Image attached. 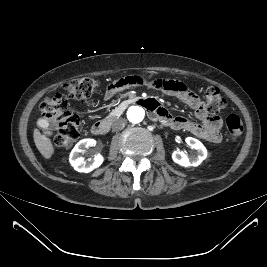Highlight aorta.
<instances>
[{"label":"aorta","instance_id":"aorta-1","mask_svg":"<svg viewBox=\"0 0 267 267\" xmlns=\"http://www.w3.org/2000/svg\"><path fill=\"white\" fill-rule=\"evenodd\" d=\"M144 117L145 111L140 106H131L127 111L128 120L134 124L142 122Z\"/></svg>","mask_w":267,"mask_h":267}]
</instances>
